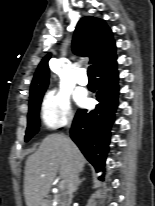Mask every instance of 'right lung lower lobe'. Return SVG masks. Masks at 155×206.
Wrapping results in <instances>:
<instances>
[{
  "label": "right lung lower lobe",
  "mask_w": 155,
  "mask_h": 206,
  "mask_svg": "<svg viewBox=\"0 0 155 206\" xmlns=\"http://www.w3.org/2000/svg\"><path fill=\"white\" fill-rule=\"evenodd\" d=\"M115 60L97 73L96 100L99 103L96 108L90 112L78 110L71 128L72 140L97 171H102L105 165L110 128L118 105V72Z\"/></svg>",
  "instance_id": "obj_1"
}]
</instances>
